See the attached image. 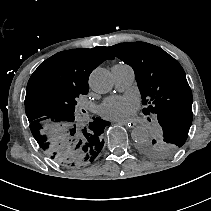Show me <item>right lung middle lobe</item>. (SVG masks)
I'll return each mask as SVG.
<instances>
[{
    "label": "right lung middle lobe",
    "instance_id": "obj_1",
    "mask_svg": "<svg viewBox=\"0 0 211 211\" xmlns=\"http://www.w3.org/2000/svg\"><path fill=\"white\" fill-rule=\"evenodd\" d=\"M76 90L45 89L37 97L31 132L44 153L53 161L68 167L88 163L86 153L93 141L104 132L107 121L94 118L83 123L76 111Z\"/></svg>",
    "mask_w": 211,
    "mask_h": 211
}]
</instances>
